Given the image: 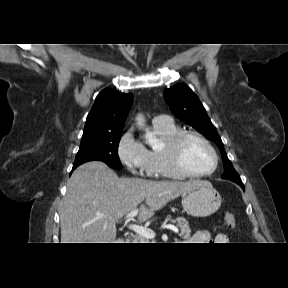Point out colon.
Returning a JSON list of instances; mask_svg holds the SVG:
<instances>
[{"label":"colon","mask_w":288,"mask_h":288,"mask_svg":"<svg viewBox=\"0 0 288 288\" xmlns=\"http://www.w3.org/2000/svg\"><path fill=\"white\" fill-rule=\"evenodd\" d=\"M235 222V217L231 212L224 213L223 224L227 229L232 230L235 227Z\"/></svg>","instance_id":"1"}]
</instances>
